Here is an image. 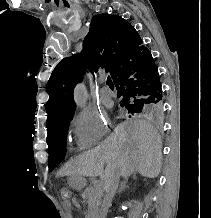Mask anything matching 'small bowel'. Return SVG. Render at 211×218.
I'll use <instances>...</instances> for the list:
<instances>
[{"label":"small bowel","instance_id":"1","mask_svg":"<svg viewBox=\"0 0 211 218\" xmlns=\"http://www.w3.org/2000/svg\"><path fill=\"white\" fill-rule=\"evenodd\" d=\"M66 206L67 207H70V206H78V203L76 201H70V202H67L66 203Z\"/></svg>","mask_w":211,"mask_h":218}]
</instances>
